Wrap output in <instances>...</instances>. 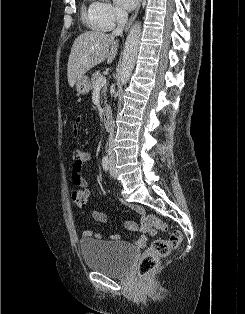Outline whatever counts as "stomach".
<instances>
[{"instance_id": "stomach-1", "label": "stomach", "mask_w": 245, "mask_h": 314, "mask_svg": "<svg viewBox=\"0 0 245 314\" xmlns=\"http://www.w3.org/2000/svg\"><path fill=\"white\" fill-rule=\"evenodd\" d=\"M89 78L85 75L80 77L76 82V90L79 95H86L90 91Z\"/></svg>"}]
</instances>
